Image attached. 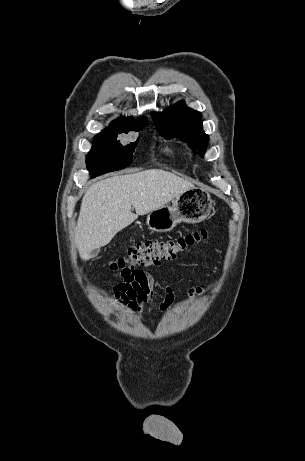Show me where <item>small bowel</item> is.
Wrapping results in <instances>:
<instances>
[{"label": "small bowel", "mask_w": 305, "mask_h": 461, "mask_svg": "<svg viewBox=\"0 0 305 461\" xmlns=\"http://www.w3.org/2000/svg\"><path fill=\"white\" fill-rule=\"evenodd\" d=\"M154 292L155 282L152 276L147 271L136 270L130 277L113 286L111 299L119 307L126 309L130 313L138 314L152 300ZM203 295H205V291L202 287H190L187 291L188 303H191L196 296ZM174 300L175 294L172 286L166 285L165 296L159 305V309L162 312H167Z\"/></svg>", "instance_id": "1"}]
</instances>
